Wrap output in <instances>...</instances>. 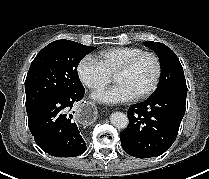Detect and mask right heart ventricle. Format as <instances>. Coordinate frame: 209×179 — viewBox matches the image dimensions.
I'll return each mask as SVG.
<instances>
[{"label":"right heart ventricle","mask_w":209,"mask_h":179,"mask_svg":"<svg viewBox=\"0 0 209 179\" xmlns=\"http://www.w3.org/2000/svg\"><path fill=\"white\" fill-rule=\"evenodd\" d=\"M142 51L134 46L112 47L99 52L96 58L105 72L112 76L126 61Z\"/></svg>","instance_id":"1"}]
</instances>
